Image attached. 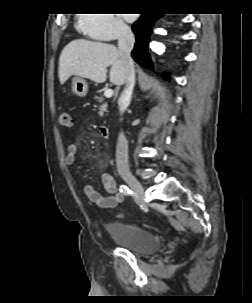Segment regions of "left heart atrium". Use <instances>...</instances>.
<instances>
[{
  "label": "left heart atrium",
  "instance_id": "obj_1",
  "mask_svg": "<svg viewBox=\"0 0 252 303\" xmlns=\"http://www.w3.org/2000/svg\"><path fill=\"white\" fill-rule=\"evenodd\" d=\"M127 17H128L129 20L133 19V16H131L130 14H128Z\"/></svg>",
  "mask_w": 252,
  "mask_h": 303
}]
</instances>
